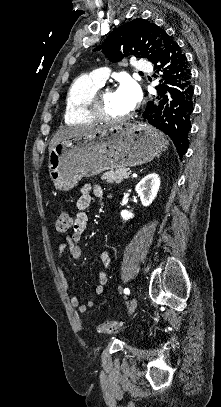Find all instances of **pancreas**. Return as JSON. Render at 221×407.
Segmentation results:
<instances>
[{
  "instance_id": "1",
  "label": "pancreas",
  "mask_w": 221,
  "mask_h": 407,
  "mask_svg": "<svg viewBox=\"0 0 221 407\" xmlns=\"http://www.w3.org/2000/svg\"><path fill=\"white\" fill-rule=\"evenodd\" d=\"M129 172L127 168L111 170L102 174L101 178L106 180L107 183H120L123 179L128 178L126 173Z\"/></svg>"
}]
</instances>
